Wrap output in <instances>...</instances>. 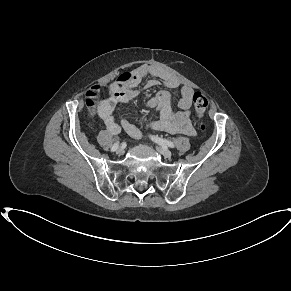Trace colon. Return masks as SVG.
I'll list each match as a JSON object with an SVG mask.
<instances>
[{
  "label": "colon",
  "mask_w": 291,
  "mask_h": 291,
  "mask_svg": "<svg viewBox=\"0 0 291 291\" xmlns=\"http://www.w3.org/2000/svg\"><path fill=\"white\" fill-rule=\"evenodd\" d=\"M97 92H91L88 94L89 98L86 100V105L87 107L93 109L95 107V102L92 99L93 96H97ZM193 104L195 111L197 114L201 117L204 115L208 108V100L207 98L201 93V92H196L193 94ZM200 129L204 131L206 129V125L202 122L200 123Z\"/></svg>",
  "instance_id": "5ec220e1"
}]
</instances>
